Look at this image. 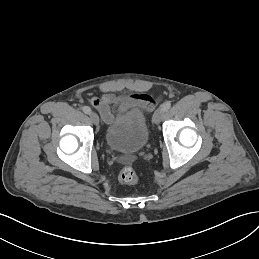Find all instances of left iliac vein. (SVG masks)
Returning <instances> with one entry per match:
<instances>
[{"instance_id":"obj_1","label":"left iliac vein","mask_w":259,"mask_h":259,"mask_svg":"<svg viewBox=\"0 0 259 259\" xmlns=\"http://www.w3.org/2000/svg\"><path fill=\"white\" fill-rule=\"evenodd\" d=\"M164 115V111L162 110V108L158 109L155 111L154 116H153V121L155 124L160 123V121L162 120Z\"/></svg>"}]
</instances>
